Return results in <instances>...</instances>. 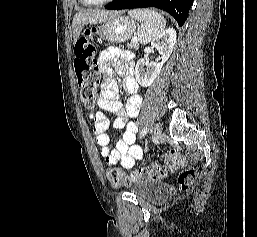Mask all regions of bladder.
<instances>
[{
	"label": "bladder",
	"mask_w": 257,
	"mask_h": 237,
	"mask_svg": "<svg viewBox=\"0 0 257 237\" xmlns=\"http://www.w3.org/2000/svg\"><path fill=\"white\" fill-rule=\"evenodd\" d=\"M130 191L146 200H157L164 194L162 184L157 180H143L135 182Z\"/></svg>",
	"instance_id": "31cf9c89"
}]
</instances>
